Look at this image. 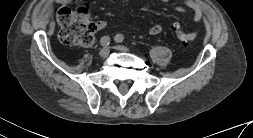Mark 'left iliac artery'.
Instances as JSON below:
<instances>
[{
    "mask_svg": "<svg viewBox=\"0 0 253 138\" xmlns=\"http://www.w3.org/2000/svg\"><path fill=\"white\" fill-rule=\"evenodd\" d=\"M115 41H116L117 43L123 42V41H124V36H123L122 34L116 35Z\"/></svg>",
    "mask_w": 253,
    "mask_h": 138,
    "instance_id": "44dca946",
    "label": "left iliac artery"
}]
</instances>
